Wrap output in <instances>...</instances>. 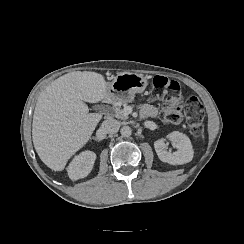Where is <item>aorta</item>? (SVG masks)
Wrapping results in <instances>:
<instances>
[{"label": "aorta", "instance_id": "762f6f07", "mask_svg": "<svg viewBox=\"0 0 244 244\" xmlns=\"http://www.w3.org/2000/svg\"><path fill=\"white\" fill-rule=\"evenodd\" d=\"M120 133L123 137H130L132 134V129L129 126H123Z\"/></svg>", "mask_w": 244, "mask_h": 244}]
</instances>
